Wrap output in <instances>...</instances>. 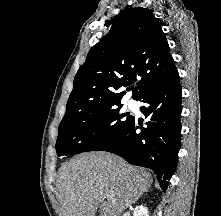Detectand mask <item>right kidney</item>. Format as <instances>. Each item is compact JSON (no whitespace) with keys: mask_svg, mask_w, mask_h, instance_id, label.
<instances>
[{"mask_svg":"<svg viewBox=\"0 0 221 216\" xmlns=\"http://www.w3.org/2000/svg\"><path fill=\"white\" fill-rule=\"evenodd\" d=\"M133 216H149L147 207L143 205L137 206L134 210Z\"/></svg>","mask_w":221,"mask_h":216,"instance_id":"obj_1","label":"right kidney"}]
</instances>
